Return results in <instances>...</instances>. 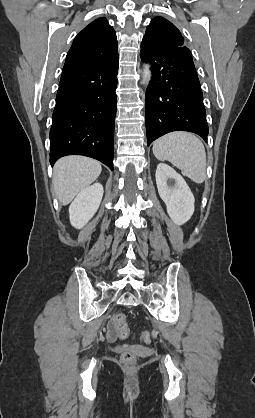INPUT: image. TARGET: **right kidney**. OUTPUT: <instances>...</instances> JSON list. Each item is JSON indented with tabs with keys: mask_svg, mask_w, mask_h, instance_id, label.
Masks as SVG:
<instances>
[{
	"mask_svg": "<svg viewBox=\"0 0 255 418\" xmlns=\"http://www.w3.org/2000/svg\"><path fill=\"white\" fill-rule=\"evenodd\" d=\"M103 192V186L95 183L76 196L69 207V218L73 227L81 229L88 223L100 206Z\"/></svg>",
	"mask_w": 255,
	"mask_h": 418,
	"instance_id": "ca27d5eb",
	"label": "right kidney"
}]
</instances>
